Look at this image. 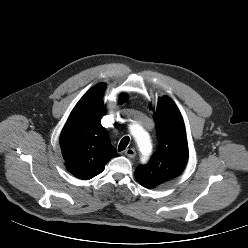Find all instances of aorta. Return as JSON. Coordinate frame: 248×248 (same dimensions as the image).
<instances>
[{
  "label": "aorta",
  "mask_w": 248,
  "mask_h": 248,
  "mask_svg": "<svg viewBox=\"0 0 248 248\" xmlns=\"http://www.w3.org/2000/svg\"><path fill=\"white\" fill-rule=\"evenodd\" d=\"M131 133L137 142L140 152L149 155L152 151V144L148 133L138 125L131 128Z\"/></svg>",
  "instance_id": "1"
}]
</instances>
